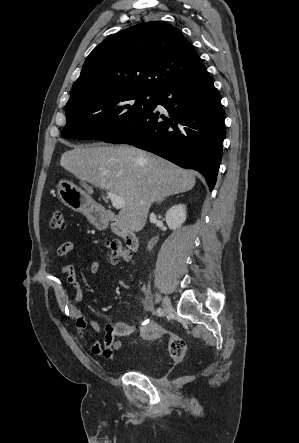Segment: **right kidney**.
Instances as JSON below:
<instances>
[{
  "instance_id": "ca27d5eb",
  "label": "right kidney",
  "mask_w": 299,
  "mask_h": 443,
  "mask_svg": "<svg viewBox=\"0 0 299 443\" xmlns=\"http://www.w3.org/2000/svg\"><path fill=\"white\" fill-rule=\"evenodd\" d=\"M166 223L171 230L179 228L186 220V207L183 204L172 206L166 212Z\"/></svg>"
}]
</instances>
